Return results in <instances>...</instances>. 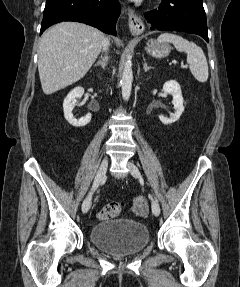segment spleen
I'll return each instance as SVG.
<instances>
[{"instance_id":"3e777b00","label":"spleen","mask_w":240,"mask_h":287,"mask_svg":"<svg viewBox=\"0 0 240 287\" xmlns=\"http://www.w3.org/2000/svg\"><path fill=\"white\" fill-rule=\"evenodd\" d=\"M157 41L170 42L177 51L185 52L187 54V63L189 64L190 71L195 79L202 83L207 81L209 75L208 64L201 47L180 35L169 32L162 33Z\"/></svg>"}]
</instances>
